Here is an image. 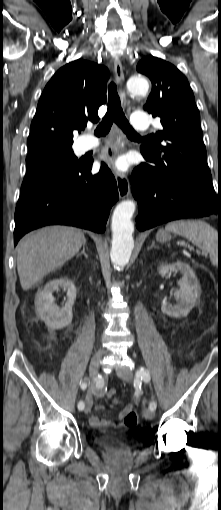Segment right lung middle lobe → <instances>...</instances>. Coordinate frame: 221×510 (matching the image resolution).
Masks as SVG:
<instances>
[{
	"instance_id": "right-lung-middle-lobe-1",
	"label": "right lung middle lobe",
	"mask_w": 221,
	"mask_h": 510,
	"mask_svg": "<svg viewBox=\"0 0 221 510\" xmlns=\"http://www.w3.org/2000/svg\"><path fill=\"white\" fill-rule=\"evenodd\" d=\"M26 164L21 194L36 183L71 177L83 161L75 157L71 147L46 146L28 152Z\"/></svg>"
}]
</instances>
